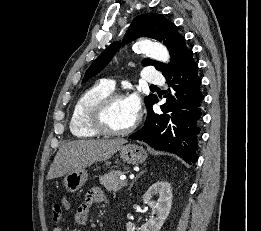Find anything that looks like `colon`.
Returning <instances> with one entry per match:
<instances>
[{"mask_svg": "<svg viewBox=\"0 0 261 231\" xmlns=\"http://www.w3.org/2000/svg\"><path fill=\"white\" fill-rule=\"evenodd\" d=\"M64 208H67V204H64V206H63Z\"/></svg>", "mask_w": 261, "mask_h": 231, "instance_id": "5ec220e1", "label": "colon"}]
</instances>
